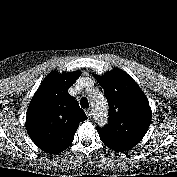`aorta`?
<instances>
[{"label":"aorta","mask_w":177,"mask_h":177,"mask_svg":"<svg viewBox=\"0 0 177 177\" xmlns=\"http://www.w3.org/2000/svg\"><path fill=\"white\" fill-rule=\"evenodd\" d=\"M91 103L97 111V119L100 125L107 121V101L101 93H95L91 97Z\"/></svg>","instance_id":"obj_1"}]
</instances>
